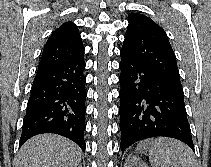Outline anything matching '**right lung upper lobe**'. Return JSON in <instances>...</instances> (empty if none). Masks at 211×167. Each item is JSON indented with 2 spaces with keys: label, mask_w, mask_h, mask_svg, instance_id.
Returning <instances> with one entry per match:
<instances>
[{
  "label": "right lung upper lobe",
  "mask_w": 211,
  "mask_h": 167,
  "mask_svg": "<svg viewBox=\"0 0 211 167\" xmlns=\"http://www.w3.org/2000/svg\"><path fill=\"white\" fill-rule=\"evenodd\" d=\"M84 55V46L77 26L68 21L57 28L47 40L38 70L64 64Z\"/></svg>",
  "instance_id": "obj_1"
}]
</instances>
